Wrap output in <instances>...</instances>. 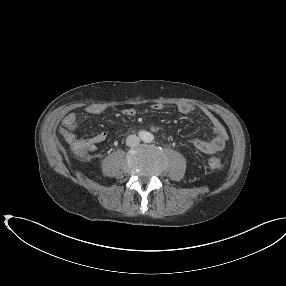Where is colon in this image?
Returning <instances> with one entry per match:
<instances>
[{"mask_svg":"<svg viewBox=\"0 0 286 286\" xmlns=\"http://www.w3.org/2000/svg\"><path fill=\"white\" fill-rule=\"evenodd\" d=\"M208 166L212 169H219L222 166V163L217 158H210L208 160Z\"/></svg>","mask_w":286,"mask_h":286,"instance_id":"1","label":"colon"}]
</instances>
